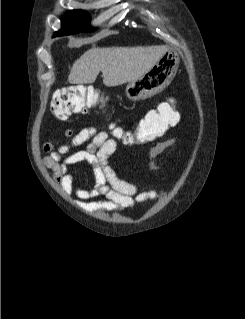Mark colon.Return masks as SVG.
Here are the masks:
<instances>
[{
  "label": "colon",
  "mask_w": 245,
  "mask_h": 319,
  "mask_svg": "<svg viewBox=\"0 0 245 319\" xmlns=\"http://www.w3.org/2000/svg\"><path fill=\"white\" fill-rule=\"evenodd\" d=\"M99 101L98 91L87 85H71L57 91L52 98V112L60 120L74 113L86 112ZM174 106L165 105L148 112L134 131L116 130V135L127 145H142L155 141L177 121Z\"/></svg>",
  "instance_id": "5ec220e1"
}]
</instances>
